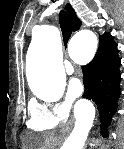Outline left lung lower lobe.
<instances>
[{"label":"left lung lower lobe","mask_w":124,"mask_h":149,"mask_svg":"<svg viewBox=\"0 0 124 149\" xmlns=\"http://www.w3.org/2000/svg\"><path fill=\"white\" fill-rule=\"evenodd\" d=\"M120 65L117 44L110 33H105L99 38V47L93 60L82 66L85 86L83 97L96 103L103 137L108 135L107 126L118 107Z\"/></svg>","instance_id":"left-lung-lower-lobe-1"}]
</instances>
